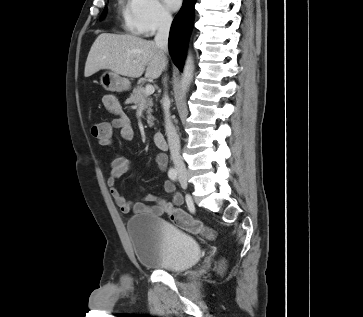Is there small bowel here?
<instances>
[{
  "instance_id": "obj_1",
  "label": "small bowel",
  "mask_w": 363,
  "mask_h": 317,
  "mask_svg": "<svg viewBox=\"0 0 363 317\" xmlns=\"http://www.w3.org/2000/svg\"><path fill=\"white\" fill-rule=\"evenodd\" d=\"M102 103L104 107L115 117L111 122L104 123L101 127V133L95 136L102 146H110L113 142L114 130L119 131L121 139L130 141L134 138L133 127L128 118L123 114L118 99L107 94L103 96ZM156 163L160 170H165L167 166L164 156H157ZM133 163L122 155H117L111 162L110 174L107 178V184L110 194L113 197L116 205L123 213H144L153 216H162L167 214L169 209L174 206H179L183 203L182 194L175 192L174 185L166 181L164 183V191L172 195L171 202L161 199L153 194H144L140 199L129 201L116 187L117 179L125 172L130 170ZM150 203H153L150 205Z\"/></svg>"
}]
</instances>
